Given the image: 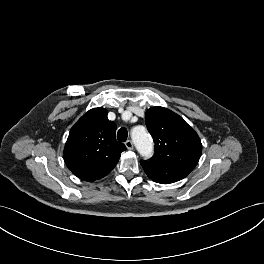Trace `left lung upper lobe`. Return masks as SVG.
Instances as JSON below:
<instances>
[{"label":"left lung upper lobe","mask_w":264,"mask_h":264,"mask_svg":"<svg viewBox=\"0 0 264 264\" xmlns=\"http://www.w3.org/2000/svg\"><path fill=\"white\" fill-rule=\"evenodd\" d=\"M145 123L155 143L150 161L191 172L202 152L197 133L173 111L157 106L146 111Z\"/></svg>","instance_id":"1"}]
</instances>
